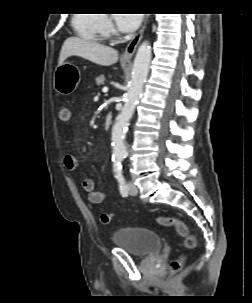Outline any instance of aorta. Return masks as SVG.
<instances>
[{
	"label": "aorta",
	"mask_w": 252,
	"mask_h": 303,
	"mask_svg": "<svg viewBox=\"0 0 252 303\" xmlns=\"http://www.w3.org/2000/svg\"><path fill=\"white\" fill-rule=\"evenodd\" d=\"M150 61L151 47L149 43L145 41L139 46L136 53L125 104L116 118V122L112 130V161L115 165L120 164L128 154L125 142L126 129L128 127L129 120L135 111V107L141 98L143 86L149 72Z\"/></svg>",
	"instance_id": "aorta-1"
}]
</instances>
